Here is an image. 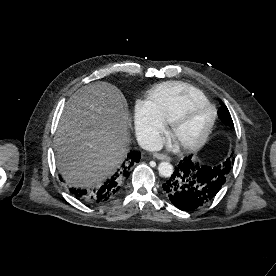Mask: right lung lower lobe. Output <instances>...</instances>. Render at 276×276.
Segmentation results:
<instances>
[{
  "instance_id": "1",
  "label": "right lung lower lobe",
  "mask_w": 276,
  "mask_h": 276,
  "mask_svg": "<svg viewBox=\"0 0 276 276\" xmlns=\"http://www.w3.org/2000/svg\"><path fill=\"white\" fill-rule=\"evenodd\" d=\"M141 159V153L131 151L121 167L102 186L92 190L70 188V192L79 200L86 203H102L119 191L129 177L130 170Z\"/></svg>"
}]
</instances>
